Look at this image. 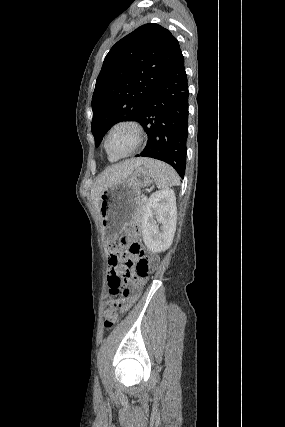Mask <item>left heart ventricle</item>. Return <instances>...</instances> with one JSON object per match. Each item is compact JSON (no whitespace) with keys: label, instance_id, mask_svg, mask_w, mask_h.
<instances>
[{"label":"left heart ventricle","instance_id":"obj_1","mask_svg":"<svg viewBox=\"0 0 285 427\" xmlns=\"http://www.w3.org/2000/svg\"><path fill=\"white\" fill-rule=\"evenodd\" d=\"M135 143V134L129 127L122 126L112 131L108 139L109 150L114 154L128 152Z\"/></svg>","mask_w":285,"mask_h":427}]
</instances>
